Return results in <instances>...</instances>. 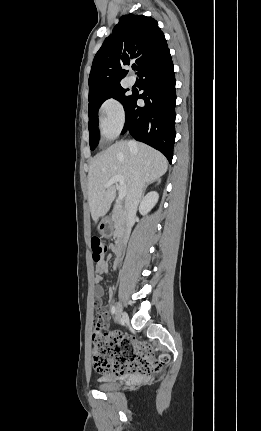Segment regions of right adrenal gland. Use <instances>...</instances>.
Here are the masks:
<instances>
[{
    "label": "right adrenal gland",
    "mask_w": 261,
    "mask_h": 431,
    "mask_svg": "<svg viewBox=\"0 0 261 431\" xmlns=\"http://www.w3.org/2000/svg\"><path fill=\"white\" fill-rule=\"evenodd\" d=\"M156 184H159L160 183V179H157L156 180ZM150 185V183H147L146 185H145V187H144V190H143V196H144V194H145V191H146V189H147V187ZM143 198V197H142Z\"/></svg>",
    "instance_id": "2a0ac1e0"
}]
</instances>
